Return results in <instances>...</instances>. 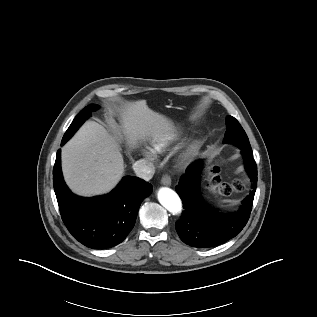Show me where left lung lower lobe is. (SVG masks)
<instances>
[{"label": "left lung lower lobe", "instance_id": "left-lung-lower-lobe-1", "mask_svg": "<svg viewBox=\"0 0 317 317\" xmlns=\"http://www.w3.org/2000/svg\"><path fill=\"white\" fill-rule=\"evenodd\" d=\"M241 150L252 188L238 211L224 214L204 203L199 191L201 160L187 168L186 174L176 186L175 189L182 199L184 208L180 220L176 223V230L186 244L197 248H207L225 243L237 236L248 222L257 187V166L252 150Z\"/></svg>", "mask_w": 317, "mask_h": 317}]
</instances>
